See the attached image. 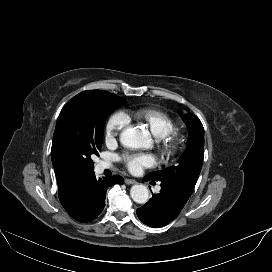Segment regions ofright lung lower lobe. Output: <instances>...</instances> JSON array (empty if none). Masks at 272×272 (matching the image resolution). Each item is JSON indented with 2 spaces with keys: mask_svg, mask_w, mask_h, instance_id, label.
I'll use <instances>...</instances> for the list:
<instances>
[{
  "mask_svg": "<svg viewBox=\"0 0 272 272\" xmlns=\"http://www.w3.org/2000/svg\"><path fill=\"white\" fill-rule=\"evenodd\" d=\"M123 182L124 179L119 175L110 178H96L93 172L79 191L74 202L65 210L79 222H91L104 209L107 188L114 184H123Z\"/></svg>",
  "mask_w": 272,
  "mask_h": 272,
  "instance_id": "1",
  "label": "right lung lower lobe"
}]
</instances>
